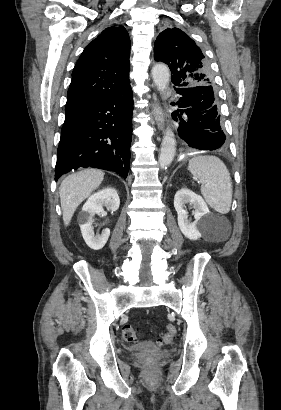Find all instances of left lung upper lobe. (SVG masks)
Segmentation results:
<instances>
[{"mask_svg": "<svg viewBox=\"0 0 281 410\" xmlns=\"http://www.w3.org/2000/svg\"><path fill=\"white\" fill-rule=\"evenodd\" d=\"M154 58L166 63L178 88L212 86L213 76L200 48L182 30L167 28L154 44Z\"/></svg>", "mask_w": 281, "mask_h": 410, "instance_id": "1", "label": "left lung upper lobe"}]
</instances>
